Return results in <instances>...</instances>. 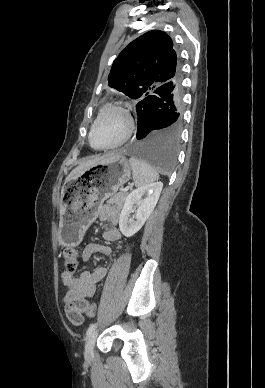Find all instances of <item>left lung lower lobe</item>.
Wrapping results in <instances>:
<instances>
[{"label":"left lung lower lobe","mask_w":265,"mask_h":388,"mask_svg":"<svg viewBox=\"0 0 265 388\" xmlns=\"http://www.w3.org/2000/svg\"><path fill=\"white\" fill-rule=\"evenodd\" d=\"M154 93L136 105L137 135L127 150L158 169L170 171L182 123L181 78L161 85Z\"/></svg>","instance_id":"obj_1"}]
</instances>
